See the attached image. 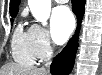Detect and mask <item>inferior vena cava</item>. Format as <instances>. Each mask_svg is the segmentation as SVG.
Returning a JSON list of instances; mask_svg holds the SVG:
<instances>
[{
  "label": "inferior vena cava",
  "mask_w": 102,
  "mask_h": 75,
  "mask_svg": "<svg viewBox=\"0 0 102 75\" xmlns=\"http://www.w3.org/2000/svg\"><path fill=\"white\" fill-rule=\"evenodd\" d=\"M50 64H51V61L47 62V63L45 64V66L50 65ZM41 69H42V70H45L44 67H42Z\"/></svg>",
  "instance_id": "1"
}]
</instances>
